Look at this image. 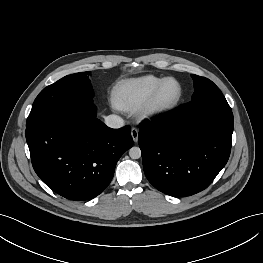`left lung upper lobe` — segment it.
<instances>
[{
  "mask_svg": "<svg viewBox=\"0 0 263 263\" xmlns=\"http://www.w3.org/2000/svg\"><path fill=\"white\" fill-rule=\"evenodd\" d=\"M195 92L192 100L183 105L188 113H196L207 110H231L224 95L218 87L209 79L192 74Z\"/></svg>",
  "mask_w": 263,
  "mask_h": 263,
  "instance_id": "5c2ea615",
  "label": "left lung upper lobe"
}]
</instances>
